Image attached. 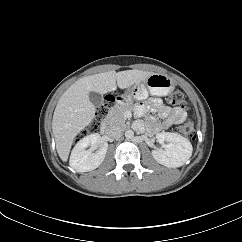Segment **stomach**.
Here are the masks:
<instances>
[{"label": "stomach", "mask_w": 242, "mask_h": 242, "mask_svg": "<svg viewBox=\"0 0 242 242\" xmlns=\"http://www.w3.org/2000/svg\"><path fill=\"white\" fill-rule=\"evenodd\" d=\"M175 87L174 80L165 74L153 73L144 80H137L130 85L124 100L130 102L133 99H146L150 93L153 96H167Z\"/></svg>", "instance_id": "obj_1"}]
</instances>
